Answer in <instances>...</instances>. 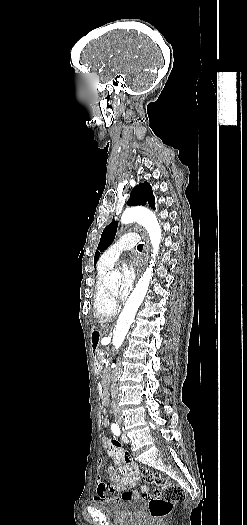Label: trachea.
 <instances>
[{
  "label": "trachea",
  "mask_w": 247,
  "mask_h": 525,
  "mask_svg": "<svg viewBox=\"0 0 247 525\" xmlns=\"http://www.w3.org/2000/svg\"><path fill=\"white\" fill-rule=\"evenodd\" d=\"M143 246H144L143 243H139V245L137 246V249H138V250H142V249H143Z\"/></svg>",
  "instance_id": "trachea-1"
}]
</instances>
